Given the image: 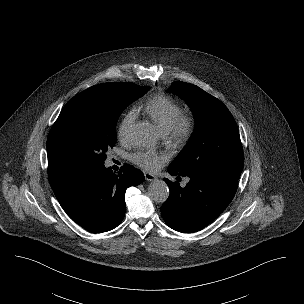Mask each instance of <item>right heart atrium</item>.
I'll use <instances>...</instances> for the list:
<instances>
[{
    "instance_id": "d8ad5b80",
    "label": "right heart atrium",
    "mask_w": 304,
    "mask_h": 304,
    "mask_svg": "<svg viewBox=\"0 0 304 304\" xmlns=\"http://www.w3.org/2000/svg\"><path fill=\"white\" fill-rule=\"evenodd\" d=\"M134 120H135V113L133 111L128 112L122 118V120L119 124V127H118V137L121 140L126 139L128 132L130 130V127L132 126Z\"/></svg>"
}]
</instances>
